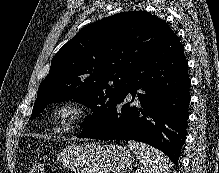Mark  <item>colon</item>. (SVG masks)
Here are the masks:
<instances>
[{
    "label": "colon",
    "instance_id": "1",
    "mask_svg": "<svg viewBox=\"0 0 219 173\" xmlns=\"http://www.w3.org/2000/svg\"><path fill=\"white\" fill-rule=\"evenodd\" d=\"M29 173H44V166L39 161H34L30 164Z\"/></svg>",
    "mask_w": 219,
    "mask_h": 173
}]
</instances>
